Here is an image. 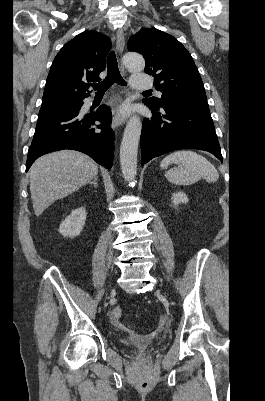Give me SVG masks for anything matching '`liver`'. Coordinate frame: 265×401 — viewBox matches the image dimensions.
<instances>
[{"mask_svg":"<svg viewBox=\"0 0 265 401\" xmlns=\"http://www.w3.org/2000/svg\"><path fill=\"white\" fill-rule=\"evenodd\" d=\"M98 166L77 150H58L37 158L30 176V192L36 217L58 198L68 196L97 176Z\"/></svg>","mask_w":265,"mask_h":401,"instance_id":"6515ba94","label":"liver"}]
</instances>
